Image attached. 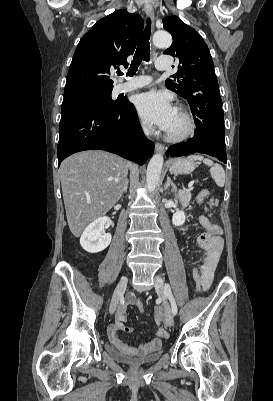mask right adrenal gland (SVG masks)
I'll list each match as a JSON object with an SVG mask.
<instances>
[{"mask_svg": "<svg viewBox=\"0 0 273 401\" xmlns=\"http://www.w3.org/2000/svg\"><path fill=\"white\" fill-rule=\"evenodd\" d=\"M128 184H129V180H128V178H126V182H125V186H124L123 192H127ZM121 196H122V194H121Z\"/></svg>", "mask_w": 273, "mask_h": 401, "instance_id": "2a0ac1e0", "label": "right adrenal gland"}]
</instances>
